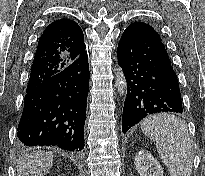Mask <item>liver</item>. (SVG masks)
<instances>
[{"label": "liver", "mask_w": 205, "mask_h": 176, "mask_svg": "<svg viewBox=\"0 0 205 176\" xmlns=\"http://www.w3.org/2000/svg\"><path fill=\"white\" fill-rule=\"evenodd\" d=\"M53 153L37 151L18 161L17 176H45L52 167Z\"/></svg>", "instance_id": "liver-1"}]
</instances>
